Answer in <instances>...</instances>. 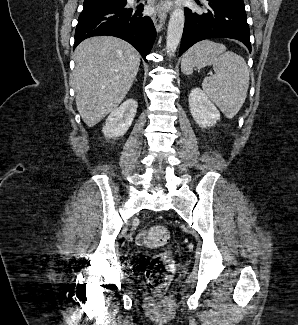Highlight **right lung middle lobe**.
Wrapping results in <instances>:
<instances>
[{
  "label": "right lung middle lobe",
  "mask_w": 298,
  "mask_h": 325,
  "mask_svg": "<svg viewBox=\"0 0 298 325\" xmlns=\"http://www.w3.org/2000/svg\"><path fill=\"white\" fill-rule=\"evenodd\" d=\"M127 3V0H84V8L115 6Z\"/></svg>",
  "instance_id": "obj_1"
}]
</instances>
